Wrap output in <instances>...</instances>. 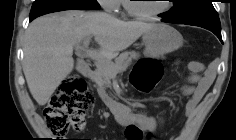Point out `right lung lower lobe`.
<instances>
[{
	"label": "right lung lower lobe",
	"mask_w": 236,
	"mask_h": 140,
	"mask_svg": "<svg viewBox=\"0 0 236 140\" xmlns=\"http://www.w3.org/2000/svg\"><path fill=\"white\" fill-rule=\"evenodd\" d=\"M33 19H34L33 17H30V18H29V21H32Z\"/></svg>",
	"instance_id": "1"
}]
</instances>
